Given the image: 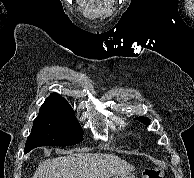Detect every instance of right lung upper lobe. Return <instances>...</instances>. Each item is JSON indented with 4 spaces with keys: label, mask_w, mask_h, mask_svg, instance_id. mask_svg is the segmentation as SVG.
<instances>
[{
    "label": "right lung upper lobe",
    "mask_w": 194,
    "mask_h": 178,
    "mask_svg": "<svg viewBox=\"0 0 194 178\" xmlns=\"http://www.w3.org/2000/svg\"><path fill=\"white\" fill-rule=\"evenodd\" d=\"M43 107H51L59 110H63L74 114V110L70 104L59 94L52 93L42 105Z\"/></svg>",
    "instance_id": "obj_1"
}]
</instances>
